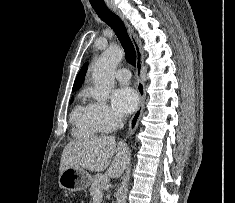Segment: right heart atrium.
<instances>
[{
    "label": "right heart atrium",
    "instance_id": "right-heart-atrium-1",
    "mask_svg": "<svg viewBox=\"0 0 235 203\" xmlns=\"http://www.w3.org/2000/svg\"><path fill=\"white\" fill-rule=\"evenodd\" d=\"M90 106L93 118L101 132H111L121 123V118L106 104L93 102Z\"/></svg>",
    "mask_w": 235,
    "mask_h": 203
}]
</instances>
